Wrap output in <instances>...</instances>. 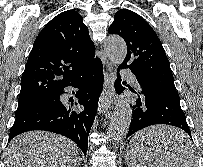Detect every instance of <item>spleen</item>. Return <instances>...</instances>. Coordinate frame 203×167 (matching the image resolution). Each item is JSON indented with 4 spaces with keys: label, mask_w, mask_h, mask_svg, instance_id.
Returning <instances> with one entry per match:
<instances>
[{
    "label": "spleen",
    "mask_w": 203,
    "mask_h": 167,
    "mask_svg": "<svg viewBox=\"0 0 203 167\" xmlns=\"http://www.w3.org/2000/svg\"><path fill=\"white\" fill-rule=\"evenodd\" d=\"M155 144H148L144 147H139L130 144L128 146L130 159L127 160L129 167H197L196 156L194 153L189 152L188 158L182 160L176 165L173 163L162 162L158 158V153L155 151Z\"/></svg>",
    "instance_id": "obj_1"
}]
</instances>
